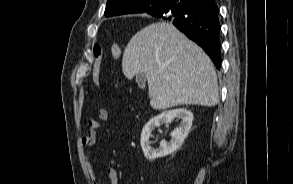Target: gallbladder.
<instances>
[{
  "label": "gallbladder",
  "instance_id": "1",
  "mask_svg": "<svg viewBox=\"0 0 293 184\" xmlns=\"http://www.w3.org/2000/svg\"><path fill=\"white\" fill-rule=\"evenodd\" d=\"M136 82L137 83H143L145 82V76L142 73H139L136 75Z\"/></svg>",
  "mask_w": 293,
  "mask_h": 184
}]
</instances>
